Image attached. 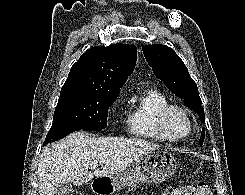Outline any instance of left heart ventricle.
Masks as SVG:
<instances>
[{"label":"left heart ventricle","instance_id":"obj_1","mask_svg":"<svg viewBox=\"0 0 245 195\" xmlns=\"http://www.w3.org/2000/svg\"><path fill=\"white\" fill-rule=\"evenodd\" d=\"M169 131L174 136H184L189 130V123L186 117L179 112H172L167 119Z\"/></svg>","mask_w":245,"mask_h":195}]
</instances>
